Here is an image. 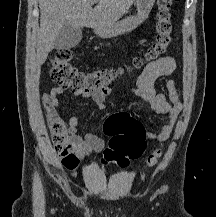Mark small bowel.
<instances>
[{
  "mask_svg": "<svg viewBox=\"0 0 216 217\" xmlns=\"http://www.w3.org/2000/svg\"><path fill=\"white\" fill-rule=\"evenodd\" d=\"M176 67V60L172 56H164L157 61L150 62L140 72L136 80V87L132 89V93L148 102L156 114L166 116V121L157 132L146 134V137L151 141L164 142L170 137L178 115L183 108L176 84L172 79L166 81L167 96L158 92L154 87L156 80L172 75ZM64 91L65 89L61 86L54 87L44 97V102L55 110L60 104L59 99ZM113 92V88L104 87L96 90H74L72 94L89 98L98 108L105 109L106 99ZM78 125L79 119L76 116L71 117L67 125V136L73 153L78 160L83 161L92 154L101 152L105 147V142L95 133L81 136L78 133Z\"/></svg>",
  "mask_w": 216,
  "mask_h": 217,
  "instance_id": "1",
  "label": "small bowel"
}]
</instances>
